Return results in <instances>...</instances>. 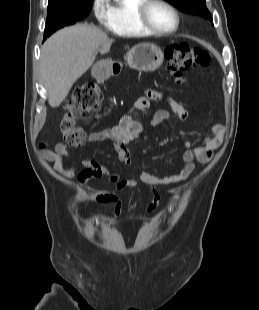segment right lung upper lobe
Wrapping results in <instances>:
<instances>
[{
    "label": "right lung upper lobe",
    "instance_id": "cb5924a9",
    "mask_svg": "<svg viewBox=\"0 0 259 310\" xmlns=\"http://www.w3.org/2000/svg\"><path fill=\"white\" fill-rule=\"evenodd\" d=\"M90 0H49L48 6H57L63 4H74V3H83Z\"/></svg>",
    "mask_w": 259,
    "mask_h": 310
}]
</instances>
